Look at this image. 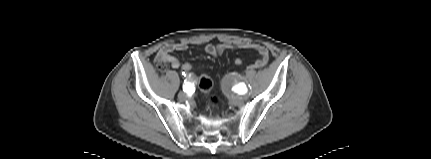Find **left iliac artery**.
<instances>
[{
  "mask_svg": "<svg viewBox=\"0 0 431 159\" xmlns=\"http://www.w3.org/2000/svg\"><path fill=\"white\" fill-rule=\"evenodd\" d=\"M238 89H239V93L240 94H243V93L247 92V88H246L245 84H243V83H240L238 85Z\"/></svg>",
  "mask_w": 431,
  "mask_h": 159,
  "instance_id": "left-iliac-artery-1",
  "label": "left iliac artery"
}]
</instances>
